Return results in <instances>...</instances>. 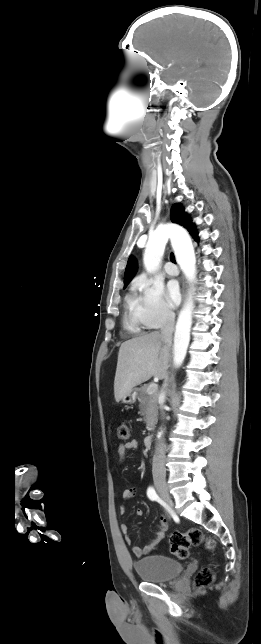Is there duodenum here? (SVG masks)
I'll list each match as a JSON object with an SVG mask.
<instances>
[{"label":"duodenum","mask_w":261,"mask_h":644,"mask_svg":"<svg viewBox=\"0 0 261 644\" xmlns=\"http://www.w3.org/2000/svg\"><path fill=\"white\" fill-rule=\"evenodd\" d=\"M152 442H153V437H152V435H147V436L144 438V445H145V447H146V448H150V447H151V445H152Z\"/></svg>","instance_id":"410a0bca"}]
</instances>
